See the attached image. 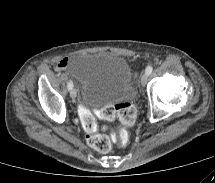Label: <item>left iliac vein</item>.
I'll return each instance as SVG.
<instances>
[{
	"instance_id": "1",
	"label": "left iliac vein",
	"mask_w": 215,
	"mask_h": 183,
	"mask_svg": "<svg viewBox=\"0 0 215 183\" xmlns=\"http://www.w3.org/2000/svg\"><path fill=\"white\" fill-rule=\"evenodd\" d=\"M148 78H149V74H148V73H144V74L142 75V77H141V84H142L143 86L146 85V83H147V81H148Z\"/></svg>"
}]
</instances>
